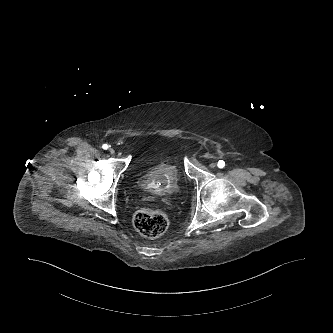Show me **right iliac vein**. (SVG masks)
<instances>
[{
  "mask_svg": "<svg viewBox=\"0 0 333 333\" xmlns=\"http://www.w3.org/2000/svg\"><path fill=\"white\" fill-rule=\"evenodd\" d=\"M109 152H110L111 154H114V153H115V150H114L113 148H110V149H109Z\"/></svg>",
  "mask_w": 333,
  "mask_h": 333,
  "instance_id": "obj_1",
  "label": "right iliac vein"
}]
</instances>
